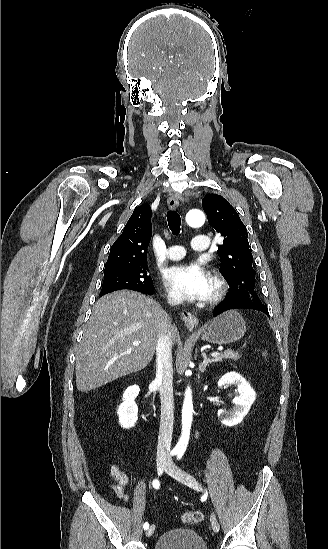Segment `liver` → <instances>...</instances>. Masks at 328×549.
<instances>
[{
  "label": "liver",
  "instance_id": "1",
  "mask_svg": "<svg viewBox=\"0 0 328 549\" xmlns=\"http://www.w3.org/2000/svg\"><path fill=\"white\" fill-rule=\"evenodd\" d=\"M176 343L177 327L161 305L135 291L101 297L92 309L76 355V385L87 393L119 377L145 369L153 359L159 335ZM134 341H140L134 347Z\"/></svg>",
  "mask_w": 328,
  "mask_h": 549
}]
</instances>
